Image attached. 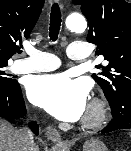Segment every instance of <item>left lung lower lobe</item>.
<instances>
[{
  "label": "left lung lower lobe",
  "instance_id": "left-lung-lower-lobe-1",
  "mask_svg": "<svg viewBox=\"0 0 131 151\" xmlns=\"http://www.w3.org/2000/svg\"><path fill=\"white\" fill-rule=\"evenodd\" d=\"M117 129H131V110H126L121 115L113 116L111 122L101 132L109 133Z\"/></svg>",
  "mask_w": 131,
  "mask_h": 151
}]
</instances>
